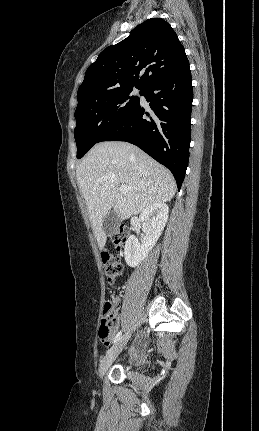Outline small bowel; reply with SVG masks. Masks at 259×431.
<instances>
[{
    "mask_svg": "<svg viewBox=\"0 0 259 431\" xmlns=\"http://www.w3.org/2000/svg\"><path fill=\"white\" fill-rule=\"evenodd\" d=\"M119 302H120V300L118 298H116V299L113 300V303H114L115 306H117L119 304ZM118 323H119V319L117 320V324ZM140 343H141V341H139L138 344H140Z\"/></svg>",
    "mask_w": 259,
    "mask_h": 431,
    "instance_id": "small-bowel-1",
    "label": "small bowel"
}]
</instances>
